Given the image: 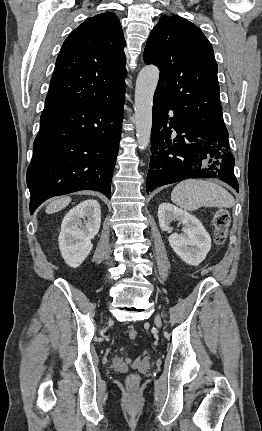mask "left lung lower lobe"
<instances>
[{"label": "left lung lower lobe", "mask_w": 262, "mask_h": 431, "mask_svg": "<svg viewBox=\"0 0 262 431\" xmlns=\"http://www.w3.org/2000/svg\"><path fill=\"white\" fill-rule=\"evenodd\" d=\"M229 149L227 129L206 133L195 128L155 92L147 192L191 178H218L238 192Z\"/></svg>", "instance_id": "1"}]
</instances>
